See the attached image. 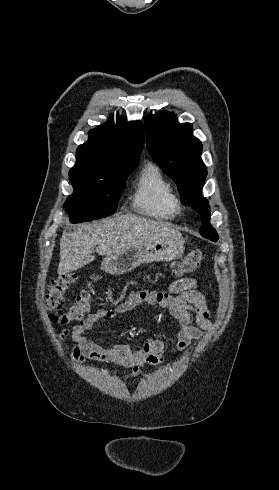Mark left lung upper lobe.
Segmentation results:
<instances>
[{"mask_svg": "<svg viewBox=\"0 0 279 490\" xmlns=\"http://www.w3.org/2000/svg\"><path fill=\"white\" fill-rule=\"evenodd\" d=\"M145 131L151 157L177 183L183 204L201 215L200 234L217 241L218 234L210 224V206L201 194L207 176L202 144L193 135L192 125L179 124L174 114L161 112L145 118Z\"/></svg>", "mask_w": 279, "mask_h": 490, "instance_id": "obj_1", "label": "left lung upper lobe"}]
</instances>
